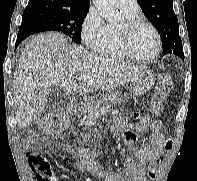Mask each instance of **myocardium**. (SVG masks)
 <instances>
[{"label":"myocardium","instance_id":"obj_1","mask_svg":"<svg viewBox=\"0 0 197 181\" xmlns=\"http://www.w3.org/2000/svg\"><path fill=\"white\" fill-rule=\"evenodd\" d=\"M148 26L154 33L157 40V48L155 53L150 57H141L137 55L131 46V38L133 32L140 26ZM118 42L124 53L131 59L140 62H153L155 61L162 51V40L158 29L148 20L140 17L126 19L117 29Z\"/></svg>","mask_w":197,"mask_h":181}]
</instances>
